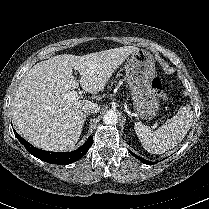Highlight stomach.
<instances>
[{"instance_id": "1", "label": "stomach", "mask_w": 209, "mask_h": 209, "mask_svg": "<svg viewBox=\"0 0 209 209\" xmlns=\"http://www.w3.org/2000/svg\"><path fill=\"white\" fill-rule=\"evenodd\" d=\"M155 63L152 54L138 49L133 52L126 65L127 83L132 93L133 106L138 115L152 119L159 110V100L152 87Z\"/></svg>"}]
</instances>
